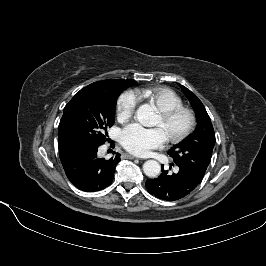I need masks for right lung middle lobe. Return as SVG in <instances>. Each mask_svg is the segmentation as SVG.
Returning <instances> with one entry per match:
<instances>
[{
    "instance_id": "dd1d6c3e",
    "label": "right lung middle lobe",
    "mask_w": 266,
    "mask_h": 266,
    "mask_svg": "<svg viewBox=\"0 0 266 266\" xmlns=\"http://www.w3.org/2000/svg\"><path fill=\"white\" fill-rule=\"evenodd\" d=\"M134 80L114 79L105 86L90 84L65 106L58 127L59 146L103 144L114 124L116 99Z\"/></svg>"
}]
</instances>
